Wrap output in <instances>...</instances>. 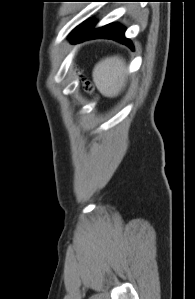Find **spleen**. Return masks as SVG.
<instances>
[{"instance_id":"spleen-1","label":"spleen","mask_w":195,"mask_h":299,"mask_svg":"<svg viewBox=\"0 0 195 299\" xmlns=\"http://www.w3.org/2000/svg\"><path fill=\"white\" fill-rule=\"evenodd\" d=\"M124 71L123 59L118 56L107 57L95 65L93 81L104 96L115 97L125 86Z\"/></svg>"}]
</instances>
